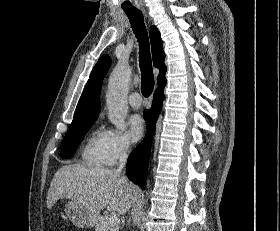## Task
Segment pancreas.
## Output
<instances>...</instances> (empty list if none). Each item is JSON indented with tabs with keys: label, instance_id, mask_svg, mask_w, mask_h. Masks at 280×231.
I'll list each match as a JSON object with an SVG mask.
<instances>
[{
	"label": "pancreas",
	"instance_id": "obj_1",
	"mask_svg": "<svg viewBox=\"0 0 280 231\" xmlns=\"http://www.w3.org/2000/svg\"><path fill=\"white\" fill-rule=\"evenodd\" d=\"M109 213L108 211H104V215H100L95 223L96 231H118L119 223L117 225H110L108 223Z\"/></svg>",
	"mask_w": 280,
	"mask_h": 231
}]
</instances>
